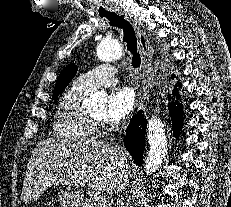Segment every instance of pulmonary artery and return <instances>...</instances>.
<instances>
[{"label":"pulmonary artery","mask_w":231,"mask_h":207,"mask_svg":"<svg viewBox=\"0 0 231 207\" xmlns=\"http://www.w3.org/2000/svg\"><path fill=\"white\" fill-rule=\"evenodd\" d=\"M117 82V70L109 63L97 65L75 80L81 90L91 92L98 87H108Z\"/></svg>","instance_id":"obj_1"}]
</instances>
